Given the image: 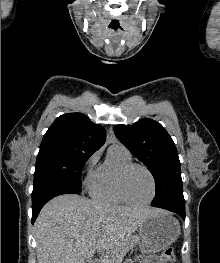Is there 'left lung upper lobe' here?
<instances>
[{"instance_id":"left-lung-upper-lobe-1","label":"left lung upper lobe","mask_w":220,"mask_h":263,"mask_svg":"<svg viewBox=\"0 0 220 263\" xmlns=\"http://www.w3.org/2000/svg\"><path fill=\"white\" fill-rule=\"evenodd\" d=\"M114 132L152 173L156 195L151 205L185 210L178 152L164 127L152 119L143 118L133 125H116Z\"/></svg>"}]
</instances>
